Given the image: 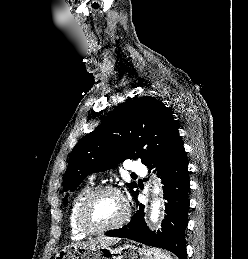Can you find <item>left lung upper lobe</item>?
Segmentation results:
<instances>
[{
	"mask_svg": "<svg viewBox=\"0 0 248 259\" xmlns=\"http://www.w3.org/2000/svg\"><path fill=\"white\" fill-rule=\"evenodd\" d=\"M181 140L172 112L151 96L129 98L104 123L73 148L63 177V191H74L91 173L105 171L125 159L151 166ZM132 193L135 182L127 184ZM63 203H68L67 196Z\"/></svg>",
	"mask_w": 248,
	"mask_h": 259,
	"instance_id": "obj_1",
	"label": "left lung upper lobe"
}]
</instances>
